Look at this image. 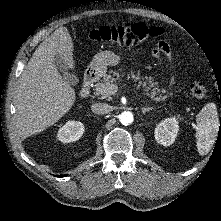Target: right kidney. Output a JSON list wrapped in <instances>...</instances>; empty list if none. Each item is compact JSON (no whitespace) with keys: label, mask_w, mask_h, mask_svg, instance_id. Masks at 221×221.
I'll return each mask as SVG.
<instances>
[{"label":"right kidney","mask_w":221,"mask_h":221,"mask_svg":"<svg viewBox=\"0 0 221 221\" xmlns=\"http://www.w3.org/2000/svg\"><path fill=\"white\" fill-rule=\"evenodd\" d=\"M85 131L84 125L78 121H68L58 131V140L63 143H69L79 140Z\"/></svg>","instance_id":"right-kidney-1"}]
</instances>
